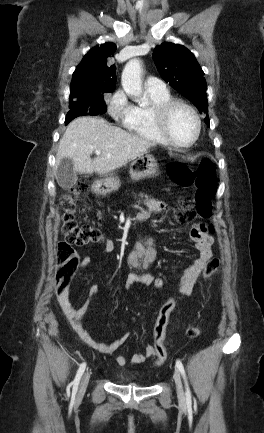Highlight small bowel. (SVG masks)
<instances>
[{
    "label": "small bowel",
    "mask_w": 264,
    "mask_h": 433,
    "mask_svg": "<svg viewBox=\"0 0 264 433\" xmlns=\"http://www.w3.org/2000/svg\"><path fill=\"white\" fill-rule=\"evenodd\" d=\"M145 207L147 212H161L167 208V204L160 201L148 200L145 202ZM189 235L190 238L195 242L199 255L194 263L185 269L180 279L179 293L181 295H189L192 292L193 286L200 276V273L202 272L208 260H210L212 257L213 238L207 233V229L204 224H194L190 229ZM104 246L105 254H111L113 252L114 247L110 240L106 239L104 241ZM90 260L91 259L88 255L84 256L81 261V266L84 267L88 265ZM135 282H140L147 286H154L157 289L165 288V282L163 279L155 278L151 275H129L126 280V286L130 288ZM96 293L97 286L95 284H90L85 300L78 308L75 307L71 302L69 288H66L62 293L58 294L57 300L70 325L86 344L101 353L113 354L128 340L130 334L125 333L110 343L99 342L91 337L83 325V316L87 310L89 302ZM156 354L155 347L153 345H149L143 352L133 354L130 358V361L137 364L143 363L148 358L156 356ZM115 361L118 365L123 366L126 364L127 359L125 356L119 354L115 357Z\"/></svg>",
    "instance_id": "c3829d8e"
}]
</instances>
